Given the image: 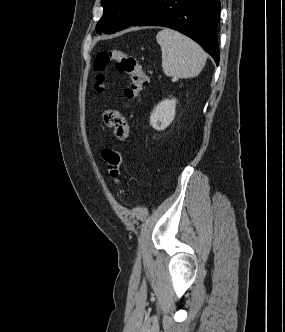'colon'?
<instances>
[{
	"label": "colon",
	"mask_w": 285,
	"mask_h": 332,
	"mask_svg": "<svg viewBox=\"0 0 285 332\" xmlns=\"http://www.w3.org/2000/svg\"><path fill=\"white\" fill-rule=\"evenodd\" d=\"M113 62L119 73L125 74L128 78V86L124 95L127 101L138 98L148 83L146 74L136 58L126 54L118 48L101 50L97 53L93 67L96 71L95 89L98 92L104 88V71ZM102 157L107 167L109 176L118 182L121 172V155L113 148H106L102 152Z\"/></svg>",
	"instance_id": "obj_1"
}]
</instances>
